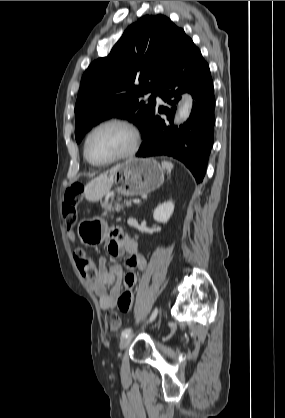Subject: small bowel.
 I'll return each instance as SVG.
<instances>
[{"label": "small bowel", "instance_id": "obj_1", "mask_svg": "<svg viewBox=\"0 0 285 418\" xmlns=\"http://www.w3.org/2000/svg\"><path fill=\"white\" fill-rule=\"evenodd\" d=\"M107 250L113 257H120L126 252L129 258L123 266H109L107 259L100 257L99 274L91 286L101 310L118 309L121 313H128L133 306L138 274L146 269L147 263L138 254L136 243L122 233H116L108 241Z\"/></svg>", "mask_w": 285, "mask_h": 418}]
</instances>
